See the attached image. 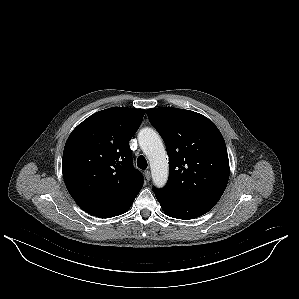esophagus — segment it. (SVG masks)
Masks as SVG:
<instances>
[{
    "label": "esophagus",
    "mask_w": 299,
    "mask_h": 299,
    "mask_svg": "<svg viewBox=\"0 0 299 299\" xmlns=\"http://www.w3.org/2000/svg\"><path fill=\"white\" fill-rule=\"evenodd\" d=\"M144 176H145V179H146L147 181H149L150 178H151V173H150V171H149V170H145V171H144Z\"/></svg>",
    "instance_id": "1"
}]
</instances>
